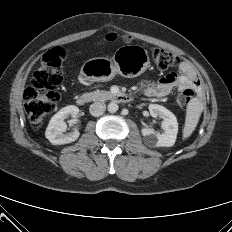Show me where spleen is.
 Returning <instances> with one entry per match:
<instances>
[{"mask_svg": "<svg viewBox=\"0 0 232 232\" xmlns=\"http://www.w3.org/2000/svg\"><path fill=\"white\" fill-rule=\"evenodd\" d=\"M201 114V106L197 98H193L188 103L186 109V119L185 126L183 130V138L186 139L191 136L193 131L195 130L199 117Z\"/></svg>", "mask_w": 232, "mask_h": 232, "instance_id": "spleen-1", "label": "spleen"}]
</instances>
